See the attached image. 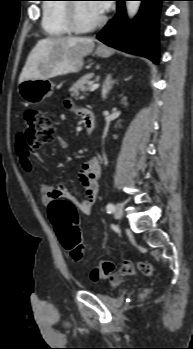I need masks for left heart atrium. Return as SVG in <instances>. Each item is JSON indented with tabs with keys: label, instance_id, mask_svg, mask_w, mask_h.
Returning a JSON list of instances; mask_svg holds the SVG:
<instances>
[{
	"label": "left heart atrium",
	"instance_id": "obj_1",
	"mask_svg": "<svg viewBox=\"0 0 193 349\" xmlns=\"http://www.w3.org/2000/svg\"><path fill=\"white\" fill-rule=\"evenodd\" d=\"M90 6L98 15H102L110 8V3L109 1H92Z\"/></svg>",
	"mask_w": 193,
	"mask_h": 349
}]
</instances>
